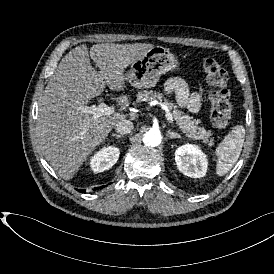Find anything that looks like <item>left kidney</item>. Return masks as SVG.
I'll return each mask as SVG.
<instances>
[{"label": "left kidney", "mask_w": 274, "mask_h": 274, "mask_svg": "<svg viewBox=\"0 0 274 274\" xmlns=\"http://www.w3.org/2000/svg\"><path fill=\"white\" fill-rule=\"evenodd\" d=\"M175 162L180 172L192 178L206 175L208 160L200 147L195 144H185L175 151Z\"/></svg>", "instance_id": "5707ae66"}]
</instances>
